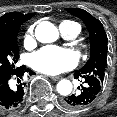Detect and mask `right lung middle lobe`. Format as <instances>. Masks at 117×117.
<instances>
[{"label":"right lung middle lobe","mask_w":117,"mask_h":117,"mask_svg":"<svg viewBox=\"0 0 117 117\" xmlns=\"http://www.w3.org/2000/svg\"><path fill=\"white\" fill-rule=\"evenodd\" d=\"M17 31H0V70L10 71L19 59Z\"/></svg>","instance_id":"1"}]
</instances>
